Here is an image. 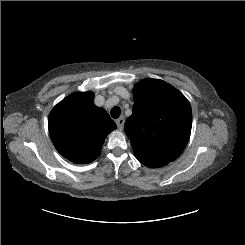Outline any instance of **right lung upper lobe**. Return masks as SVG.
Masks as SVG:
<instances>
[{
	"instance_id": "cb5924a9",
	"label": "right lung upper lobe",
	"mask_w": 245,
	"mask_h": 245,
	"mask_svg": "<svg viewBox=\"0 0 245 245\" xmlns=\"http://www.w3.org/2000/svg\"><path fill=\"white\" fill-rule=\"evenodd\" d=\"M92 92L74 93L57 104L49 115V133L57 151L74 163H90L100 154L106 136L116 124L94 105Z\"/></svg>"
}]
</instances>
